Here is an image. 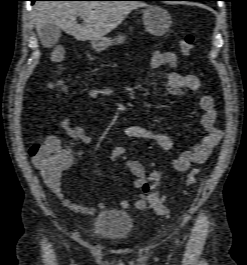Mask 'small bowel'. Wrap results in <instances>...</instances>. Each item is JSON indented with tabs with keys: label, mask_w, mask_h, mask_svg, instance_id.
Segmentation results:
<instances>
[{
	"label": "small bowel",
	"mask_w": 247,
	"mask_h": 265,
	"mask_svg": "<svg viewBox=\"0 0 247 265\" xmlns=\"http://www.w3.org/2000/svg\"><path fill=\"white\" fill-rule=\"evenodd\" d=\"M176 65L177 57L172 52L156 51L152 55V69L168 68L171 70L166 76V86L172 94L181 95L184 91L195 92L199 90L201 88L200 79L192 74H180L174 71ZM88 95L91 99L109 97L114 95V89L112 87L92 88L89 90ZM198 107L203 111L201 124L208 134L203 138L201 143L195 144L190 150L183 151L173 160L172 166L175 171L186 172L190 169L192 164L205 162L211 153L216 149L223 137L222 130L216 126L217 111L215 108L214 98L207 94L201 95L198 99ZM72 115L73 112L69 111L62 116L59 123L60 128L72 140L82 144L90 143L91 136L83 127L73 123ZM123 132L126 137L131 139H144L152 141L165 151H169L174 148V141L170 136L136 124L126 126ZM44 142L46 145H54L61 148L60 139L55 135L47 136ZM63 151L68 156V170L73 166L76 158L81 156V152L78 151L73 153L64 149ZM34 163L37 168L41 170L48 187L56 195L59 202L66 208L88 215L94 214L97 210L105 208V203L103 202H99L95 208H92L69 200L62 186L64 172L51 173L41 168L35 160ZM126 165L131 174L134 176V186L140 190L135 206L139 210H145L148 206V193L150 192V185L146 177L145 167L137 160H128ZM130 205L131 204L128 200L123 199L120 201V206L124 209L129 208Z\"/></svg>",
	"instance_id": "1"
}]
</instances>
